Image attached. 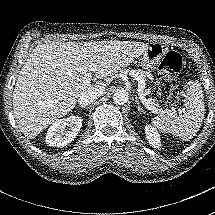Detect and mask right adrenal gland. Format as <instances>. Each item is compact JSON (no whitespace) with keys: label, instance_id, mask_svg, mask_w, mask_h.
<instances>
[{"label":"right adrenal gland","instance_id":"right-adrenal-gland-1","mask_svg":"<svg viewBox=\"0 0 215 215\" xmlns=\"http://www.w3.org/2000/svg\"><path fill=\"white\" fill-rule=\"evenodd\" d=\"M81 108H85V109H88V108H86V107H83V106H82Z\"/></svg>","mask_w":215,"mask_h":215}]
</instances>
